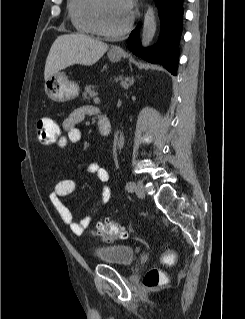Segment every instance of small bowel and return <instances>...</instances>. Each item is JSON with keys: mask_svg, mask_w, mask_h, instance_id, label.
<instances>
[{"mask_svg": "<svg viewBox=\"0 0 245 319\" xmlns=\"http://www.w3.org/2000/svg\"><path fill=\"white\" fill-rule=\"evenodd\" d=\"M96 113L97 110L91 106H83L73 110L62 123L63 134L58 140V147L63 149L69 145L78 144L82 140V132L78 128V124L87 116ZM90 172L97 177L103 187L100 200L83 219L75 221L70 209L61 201V197L70 195L75 191L76 182L74 180L63 179L58 181L50 194L52 205L60 215L62 221L70 227L75 235H82L112 199V191L109 186V172L99 164H92L90 166Z\"/></svg>", "mask_w": 245, "mask_h": 319, "instance_id": "1", "label": "small bowel"}]
</instances>
